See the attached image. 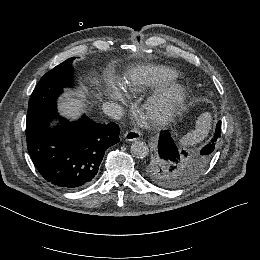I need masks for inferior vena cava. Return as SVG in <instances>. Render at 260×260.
<instances>
[{"label":"inferior vena cava","mask_w":260,"mask_h":260,"mask_svg":"<svg viewBox=\"0 0 260 260\" xmlns=\"http://www.w3.org/2000/svg\"><path fill=\"white\" fill-rule=\"evenodd\" d=\"M103 112L106 116L114 120H120L123 116V109L118 104H103Z\"/></svg>","instance_id":"602c4592"}]
</instances>
